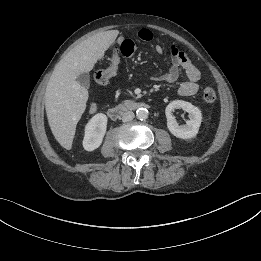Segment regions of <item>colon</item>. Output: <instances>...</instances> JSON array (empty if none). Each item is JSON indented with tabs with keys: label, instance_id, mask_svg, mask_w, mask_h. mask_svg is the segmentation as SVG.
Masks as SVG:
<instances>
[{
	"label": "colon",
	"instance_id": "obj_1",
	"mask_svg": "<svg viewBox=\"0 0 261 261\" xmlns=\"http://www.w3.org/2000/svg\"><path fill=\"white\" fill-rule=\"evenodd\" d=\"M118 66L119 56L118 51L115 50L109 59L108 66L106 68L99 69L94 73L95 81L101 85L107 84L111 78L116 75ZM202 97L206 103H213L216 100V92L213 88L206 87L203 90Z\"/></svg>",
	"mask_w": 261,
	"mask_h": 261
}]
</instances>
